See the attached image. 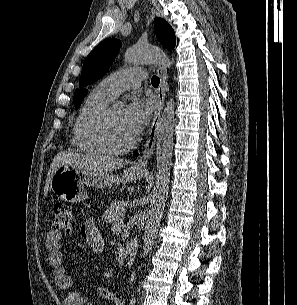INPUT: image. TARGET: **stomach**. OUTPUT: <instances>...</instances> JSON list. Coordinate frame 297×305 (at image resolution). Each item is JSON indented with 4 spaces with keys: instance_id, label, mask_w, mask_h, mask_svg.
I'll use <instances>...</instances> for the list:
<instances>
[{
    "instance_id": "stomach-1",
    "label": "stomach",
    "mask_w": 297,
    "mask_h": 305,
    "mask_svg": "<svg viewBox=\"0 0 297 305\" xmlns=\"http://www.w3.org/2000/svg\"><path fill=\"white\" fill-rule=\"evenodd\" d=\"M144 171L133 167L124 171L122 177L103 170L77 168L61 165L50 180V189L61 200L76 203L87 199L85 187L106 188L113 184L141 179Z\"/></svg>"
}]
</instances>
